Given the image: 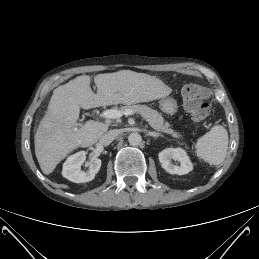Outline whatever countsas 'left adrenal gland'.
Here are the masks:
<instances>
[{
    "instance_id": "obj_1",
    "label": "left adrenal gland",
    "mask_w": 259,
    "mask_h": 259,
    "mask_svg": "<svg viewBox=\"0 0 259 259\" xmlns=\"http://www.w3.org/2000/svg\"><path fill=\"white\" fill-rule=\"evenodd\" d=\"M156 136L157 137H163V135L159 134V133H156Z\"/></svg>"
}]
</instances>
